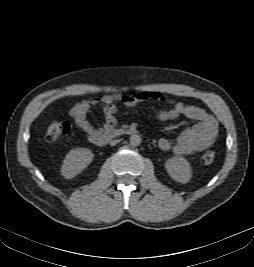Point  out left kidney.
Segmentation results:
<instances>
[{"instance_id":"5707ae66","label":"left kidney","mask_w":254,"mask_h":267,"mask_svg":"<svg viewBox=\"0 0 254 267\" xmlns=\"http://www.w3.org/2000/svg\"><path fill=\"white\" fill-rule=\"evenodd\" d=\"M165 168L172 179L180 183H188L191 179V168L189 162L179 156L168 159Z\"/></svg>"}]
</instances>
